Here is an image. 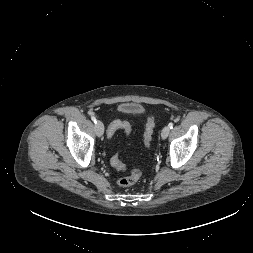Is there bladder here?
<instances>
[{
  "instance_id": "1",
  "label": "bladder",
  "mask_w": 253,
  "mask_h": 253,
  "mask_svg": "<svg viewBox=\"0 0 253 253\" xmlns=\"http://www.w3.org/2000/svg\"><path fill=\"white\" fill-rule=\"evenodd\" d=\"M120 110L123 112L138 113L142 111V108L140 105L135 103H125L121 105Z\"/></svg>"
}]
</instances>
